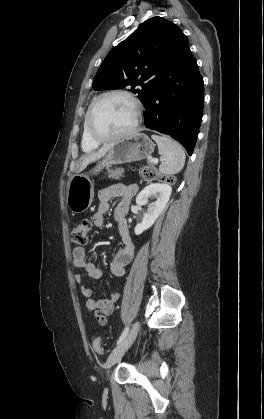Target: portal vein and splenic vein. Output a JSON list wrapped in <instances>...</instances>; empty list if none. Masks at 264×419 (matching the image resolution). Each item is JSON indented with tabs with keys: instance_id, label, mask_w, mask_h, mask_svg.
<instances>
[{
	"instance_id": "portal-vein-and-splenic-vein-1",
	"label": "portal vein and splenic vein",
	"mask_w": 264,
	"mask_h": 419,
	"mask_svg": "<svg viewBox=\"0 0 264 419\" xmlns=\"http://www.w3.org/2000/svg\"><path fill=\"white\" fill-rule=\"evenodd\" d=\"M153 163H158V159L157 158H154V159H152L151 160Z\"/></svg>"
}]
</instances>
